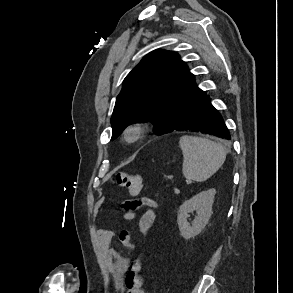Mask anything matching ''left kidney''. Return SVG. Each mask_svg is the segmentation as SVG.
<instances>
[{"label": "left kidney", "instance_id": "obj_1", "mask_svg": "<svg viewBox=\"0 0 293 293\" xmlns=\"http://www.w3.org/2000/svg\"><path fill=\"white\" fill-rule=\"evenodd\" d=\"M216 190L202 191L191 199L186 200L178 210L177 223L180 235L188 240L197 236L207 225L212 215ZM196 211L197 216L192 223L188 222L189 213Z\"/></svg>", "mask_w": 293, "mask_h": 293}]
</instances>
